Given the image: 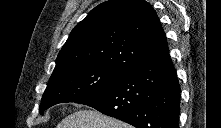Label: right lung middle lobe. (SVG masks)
<instances>
[{
	"instance_id": "right-lung-middle-lobe-1",
	"label": "right lung middle lobe",
	"mask_w": 221,
	"mask_h": 128,
	"mask_svg": "<svg viewBox=\"0 0 221 128\" xmlns=\"http://www.w3.org/2000/svg\"><path fill=\"white\" fill-rule=\"evenodd\" d=\"M126 72L96 65L54 71L43 94L40 114L63 102H78L115 83Z\"/></svg>"
}]
</instances>
